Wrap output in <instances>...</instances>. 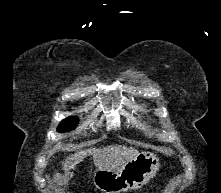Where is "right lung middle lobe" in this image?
<instances>
[{
	"label": "right lung middle lobe",
	"instance_id": "right-lung-middle-lobe-1",
	"mask_svg": "<svg viewBox=\"0 0 221 193\" xmlns=\"http://www.w3.org/2000/svg\"><path fill=\"white\" fill-rule=\"evenodd\" d=\"M78 119L76 117H68L64 119L58 126V132L73 130L77 125Z\"/></svg>",
	"mask_w": 221,
	"mask_h": 193
}]
</instances>
